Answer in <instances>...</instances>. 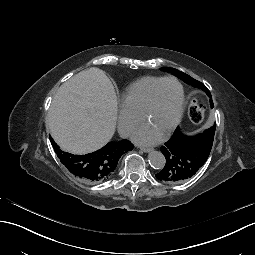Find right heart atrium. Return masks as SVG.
<instances>
[{"mask_svg": "<svg viewBox=\"0 0 255 255\" xmlns=\"http://www.w3.org/2000/svg\"><path fill=\"white\" fill-rule=\"evenodd\" d=\"M139 123V117L126 111L122 107L118 109V131L122 137H129Z\"/></svg>", "mask_w": 255, "mask_h": 255, "instance_id": "obj_1", "label": "right heart atrium"}]
</instances>
